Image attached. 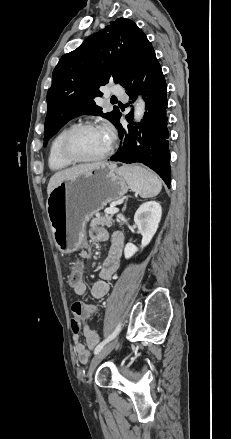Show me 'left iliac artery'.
<instances>
[{"label":"left iliac artery","instance_id":"left-iliac-artery-1","mask_svg":"<svg viewBox=\"0 0 231 439\" xmlns=\"http://www.w3.org/2000/svg\"><path fill=\"white\" fill-rule=\"evenodd\" d=\"M120 330H121V323L117 325V327L115 328V330L112 332L111 335H109L104 341H102L100 344L97 345V347L94 350V354L99 353L108 342H110L112 339H114L117 336Z\"/></svg>","mask_w":231,"mask_h":439}]
</instances>
